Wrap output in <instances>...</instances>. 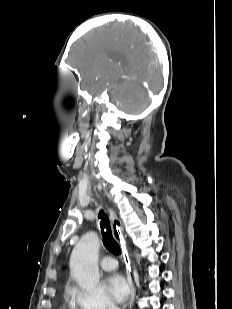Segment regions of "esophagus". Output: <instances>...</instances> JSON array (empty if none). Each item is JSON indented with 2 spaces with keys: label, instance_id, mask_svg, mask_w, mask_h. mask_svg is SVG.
Listing matches in <instances>:
<instances>
[{
  "label": "esophagus",
  "instance_id": "34e87169",
  "mask_svg": "<svg viewBox=\"0 0 232 309\" xmlns=\"http://www.w3.org/2000/svg\"><path fill=\"white\" fill-rule=\"evenodd\" d=\"M109 213H110V218H111L113 236L119 242L121 246L123 259L126 265L127 280L130 285V297H129L127 306L128 308H131L134 304V299H135V286H134V282L132 278V266L130 263V259L128 257L126 242L124 239V229H123L122 222L120 221V219H118L114 211L109 210Z\"/></svg>",
  "mask_w": 232,
  "mask_h": 309
}]
</instances>
